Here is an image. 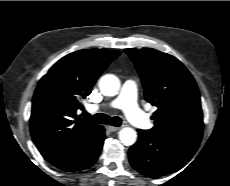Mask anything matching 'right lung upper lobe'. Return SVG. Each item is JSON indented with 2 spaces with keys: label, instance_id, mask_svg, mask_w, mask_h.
I'll list each match as a JSON object with an SVG mask.
<instances>
[{
  "label": "right lung upper lobe",
  "instance_id": "obj_1",
  "mask_svg": "<svg viewBox=\"0 0 230 186\" xmlns=\"http://www.w3.org/2000/svg\"><path fill=\"white\" fill-rule=\"evenodd\" d=\"M120 55L106 49L80 50L56 62L35 90L30 131L43 157L59 165L72 157L101 127L76 117L81 99Z\"/></svg>",
  "mask_w": 230,
  "mask_h": 186
}]
</instances>
